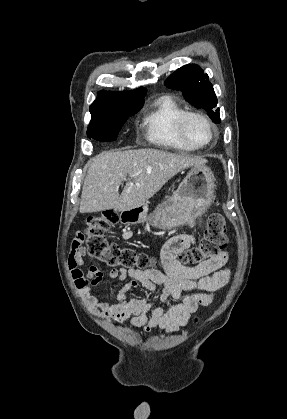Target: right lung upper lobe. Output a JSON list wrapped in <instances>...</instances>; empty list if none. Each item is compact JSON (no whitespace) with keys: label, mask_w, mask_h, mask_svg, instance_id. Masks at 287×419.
Returning a JSON list of instances; mask_svg holds the SVG:
<instances>
[{"label":"right lung upper lobe","mask_w":287,"mask_h":419,"mask_svg":"<svg viewBox=\"0 0 287 419\" xmlns=\"http://www.w3.org/2000/svg\"><path fill=\"white\" fill-rule=\"evenodd\" d=\"M146 92L147 90L143 87L132 92L101 91L90 106V113L95 114L102 111L143 106Z\"/></svg>","instance_id":"1"}]
</instances>
